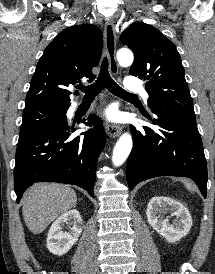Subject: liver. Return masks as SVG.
<instances>
[{"instance_id": "obj_1", "label": "liver", "mask_w": 215, "mask_h": 274, "mask_svg": "<svg viewBox=\"0 0 215 274\" xmlns=\"http://www.w3.org/2000/svg\"><path fill=\"white\" fill-rule=\"evenodd\" d=\"M23 218L28 229L39 234L77 202L74 190L58 183H36L23 195Z\"/></svg>"}]
</instances>
